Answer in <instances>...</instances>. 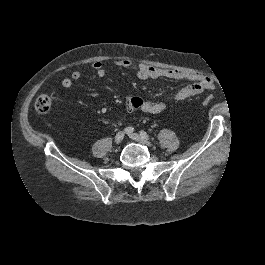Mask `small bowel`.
Segmentation results:
<instances>
[{
    "label": "small bowel",
    "instance_id": "c3829d8e",
    "mask_svg": "<svg viewBox=\"0 0 265 265\" xmlns=\"http://www.w3.org/2000/svg\"><path fill=\"white\" fill-rule=\"evenodd\" d=\"M116 66L133 69L136 76L141 79H158L168 78L175 80H188L192 83L181 88L168 102L146 100L140 96L127 95L125 104L128 111L141 110L149 114H158L166 110L170 103H176L186 100L192 96L198 95L205 90L213 88V83L210 78L189 70L179 69H161L145 63L136 62L133 60L125 59L115 62ZM91 68L96 72L99 77H104L106 74L105 66L96 61L91 64ZM81 77V72L75 70L71 73L70 77L62 80V86L66 89L73 85V82ZM85 94L92 98H98L99 94L96 92H85Z\"/></svg>",
    "mask_w": 265,
    "mask_h": 265
}]
</instances>
